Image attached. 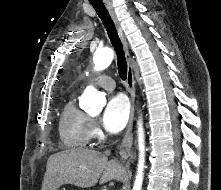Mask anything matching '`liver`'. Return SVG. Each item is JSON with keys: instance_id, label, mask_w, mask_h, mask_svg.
Instances as JSON below:
<instances>
[{"instance_id": "liver-1", "label": "liver", "mask_w": 221, "mask_h": 190, "mask_svg": "<svg viewBox=\"0 0 221 190\" xmlns=\"http://www.w3.org/2000/svg\"><path fill=\"white\" fill-rule=\"evenodd\" d=\"M125 169L106 155L91 149H68L49 157L41 190H57L64 184L81 188L109 180L123 181Z\"/></svg>"}]
</instances>
